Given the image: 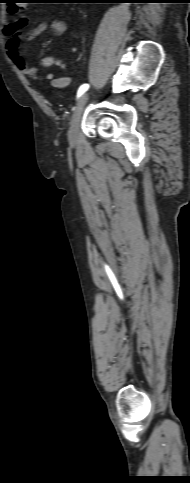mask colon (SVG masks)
<instances>
[{
  "mask_svg": "<svg viewBox=\"0 0 190 483\" xmlns=\"http://www.w3.org/2000/svg\"><path fill=\"white\" fill-rule=\"evenodd\" d=\"M26 3V0H12L8 4V11L13 15L19 14L25 9Z\"/></svg>",
  "mask_w": 190,
  "mask_h": 483,
  "instance_id": "5ec220e1",
  "label": "colon"
}]
</instances>
